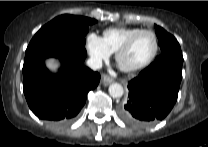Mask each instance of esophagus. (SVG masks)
<instances>
[{
  "label": "esophagus",
  "instance_id": "esophagus-1",
  "mask_svg": "<svg viewBox=\"0 0 208 147\" xmlns=\"http://www.w3.org/2000/svg\"><path fill=\"white\" fill-rule=\"evenodd\" d=\"M113 81H114V79L109 77V76H107V75L102 76V83L105 86L111 84Z\"/></svg>",
  "mask_w": 208,
  "mask_h": 147
}]
</instances>
